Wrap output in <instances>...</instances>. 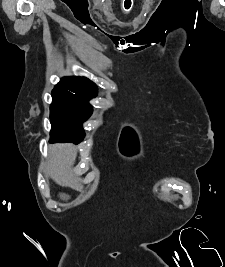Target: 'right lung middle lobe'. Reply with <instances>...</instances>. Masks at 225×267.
<instances>
[{
  "instance_id": "1",
  "label": "right lung middle lobe",
  "mask_w": 225,
  "mask_h": 267,
  "mask_svg": "<svg viewBox=\"0 0 225 267\" xmlns=\"http://www.w3.org/2000/svg\"><path fill=\"white\" fill-rule=\"evenodd\" d=\"M82 94L55 87L50 106L51 142H75L83 140L82 123L92 114V106Z\"/></svg>"
}]
</instances>
